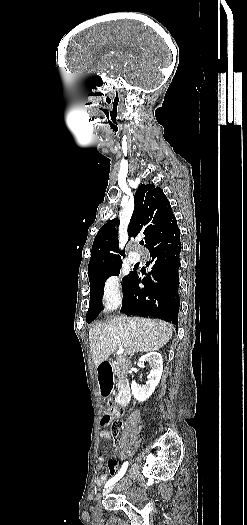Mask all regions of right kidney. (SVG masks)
I'll list each match as a JSON object with an SVG mask.
<instances>
[{
  "mask_svg": "<svg viewBox=\"0 0 247 525\" xmlns=\"http://www.w3.org/2000/svg\"><path fill=\"white\" fill-rule=\"evenodd\" d=\"M146 363H149L151 367V371H149V375H147V383L142 385V387L141 385H136V383H131L132 395L138 403H144V401H147V399L151 397L158 383H160L163 373V359L160 353H147V355H143V357L138 359L137 365L141 367V369H145Z\"/></svg>",
  "mask_w": 247,
  "mask_h": 525,
  "instance_id": "right-kidney-1",
  "label": "right kidney"
}]
</instances>
